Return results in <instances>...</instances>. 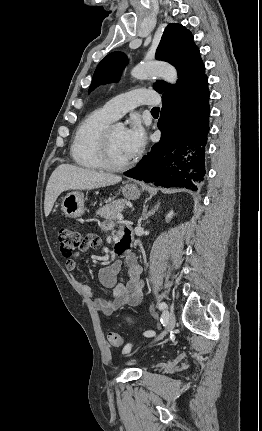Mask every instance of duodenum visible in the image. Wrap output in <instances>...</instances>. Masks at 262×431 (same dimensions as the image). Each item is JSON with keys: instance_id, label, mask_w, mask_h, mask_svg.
Returning <instances> with one entry per match:
<instances>
[{"instance_id": "obj_1", "label": "duodenum", "mask_w": 262, "mask_h": 431, "mask_svg": "<svg viewBox=\"0 0 262 431\" xmlns=\"http://www.w3.org/2000/svg\"><path fill=\"white\" fill-rule=\"evenodd\" d=\"M130 237H122L118 243L117 246L119 247L120 252H125L127 249V246L129 245Z\"/></svg>"}]
</instances>
